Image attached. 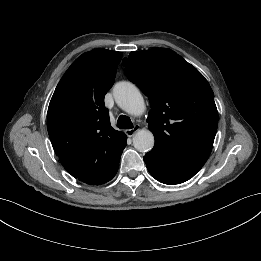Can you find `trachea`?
<instances>
[{
	"label": "trachea",
	"mask_w": 261,
	"mask_h": 261,
	"mask_svg": "<svg viewBox=\"0 0 261 261\" xmlns=\"http://www.w3.org/2000/svg\"><path fill=\"white\" fill-rule=\"evenodd\" d=\"M117 127L120 129H132L133 123L128 116L121 115L117 120Z\"/></svg>",
	"instance_id": "obj_1"
}]
</instances>
